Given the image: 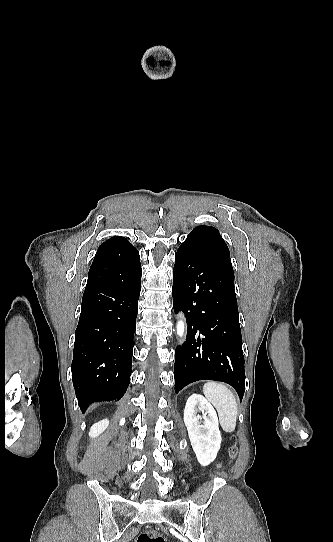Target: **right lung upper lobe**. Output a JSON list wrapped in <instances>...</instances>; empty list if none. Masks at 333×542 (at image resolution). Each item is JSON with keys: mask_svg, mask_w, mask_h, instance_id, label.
<instances>
[{"mask_svg": "<svg viewBox=\"0 0 333 542\" xmlns=\"http://www.w3.org/2000/svg\"><path fill=\"white\" fill-rule=\"evenodd\" d=\"M124 240H126V239L121 237V236H115V237H112V238L108 239L107 241L102 243L100 246H108V245H111V244H114V243H117V242H121V241H124Z\"/></svg>", "mask_w": 333, "mask_h": 542, "instance_id": "1", "label": "right lung upper lobe"}]
</instances>
